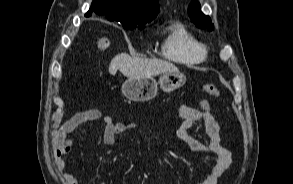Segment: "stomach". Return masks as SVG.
I'll return each instance as SVG.
<instances>
[{"label": "stomach", "mask_w": 293, "mask_h": 184, "mask_svg": "<svg viewBox=\"0 0 293 184\" xmlns=\"http://www.w3.org/2000/svg\"><path fill=\"white\" fill-rule=\"evenodd\" d=\"M186 76L178 72H165L157 82L152 76L129 77L122 85V94L134 102H144L154 98L158 85L164 92H171L182 87Z\"/></svg>", "instance_id": "obj_1"}]
</instances>
